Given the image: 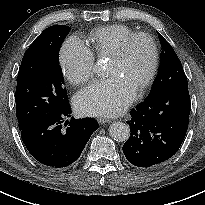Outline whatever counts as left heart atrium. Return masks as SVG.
<instances>
[{
    "instance_id": "obj_1",
    "label": "left heart atrium",
    "mask_w": 205,
    "mask_h": 205,
    "mask_svg": "<svg viewBox=\"0 0 205 205\" xmlns=\"http://www.w3.org/2000/svg\"><path fill=\"white\" fill-rule=\"evenodd\" d=\"M136 97V88L125 78L112 76L93 82L80 91L74 102L84 116H112L121 113Z\"/></svg>"
}]
</instances>
